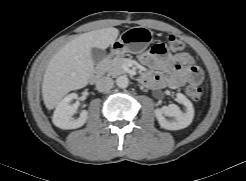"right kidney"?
Masks as SVG:
<instances>
[{"instance_id":"obj_1","label":"right kidney","mask_w":246,"mask_h":181,"mask_svg":"<svg viewBox=\"0 0 246 181\" xmlns=\"http://www.w3.org/2000/svg\"><path fill=\"white\" fill-rule=\"evenodd\" d=\"M77 98L78 95L76 93H71L64 97L57 105L52 117V122L56 127L68 130L80 128L85 124L88 118V112L86 110H83L77 119L73 118L78 108V103L71 105L70 102Z\"/></svg>"}]
</instances>
